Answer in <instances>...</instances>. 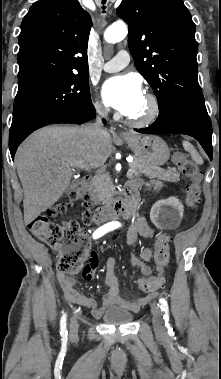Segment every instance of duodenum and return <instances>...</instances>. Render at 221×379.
<instances>
[{"label": "duodenum", "mask_w": 221, "mask_h": 379, "mask_svg": "<svg viewBox=\"0 0 221 379\" xmlns=\"http://www.w3.org/2000/svg\"><path fill=\"white\" fill-rule=\"evenodd\" d=\"M92 178L83 177L81 186L88 192L91 189ZM140 207V197L137 186L129 183L125 187V196L116 202L99 206L93 213L92 219L95 223L101 224L115 220L121 216L128 218L135 214Z\"/></svg>", "instance_id": "duodenum-1"}]
</instances>
